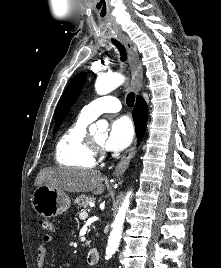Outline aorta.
Segmentation results:
<instances>
[{
	"label": "aorta",
	"mask_w": 221,
	"mask_h": 268,
	"mask_svg": "<svg viewBox=\"0 0 221 268\" xmlns=\"http://www.w3.org/2000/svg\"><path fill=\"white\" fill-rule=\"evenodd\" d=\"M124 81L125 77L118 73L100 75L96 80L95 90L99 95H105L119 87ZM103 126L105 125L102 122H97L96 124L91 126V130L96 131L97 128ZM131 195L132 192L129 191L125 196V199L121 207L119 208L117 215L115 216L114 222L112 224V231L108 239V246L106 249L107 257H111L119 247L124 219L130 204Z\"/></svg>",
	"instance_id": "762f6f07"
}]
</instances>
